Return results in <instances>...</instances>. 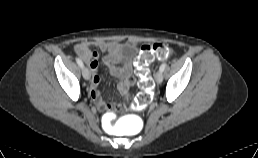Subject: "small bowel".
Wrapping results in <instances>:
<instances>
[{"label": "small bowel", "instance_id": "obj_1", "mask_svg": "<svg viewBox=\"0 0 258 158\" xmlns=\"http://www.w3.org/2000/svg\"><path fill=\"white\" fill-rule=\"evenodd\" d=\"M92 47L98 48L100 51L106 53L104 63L108 67L110 74L118 80V89L121 94H126L131 86L135 84V77L133 75L132 66L126 63L122 67L116 66V62L121 57L123 46L116 42L109 41H82L76 44L75 50L81 58L87 63L90 71L92 72L91 84L89 87V95L100 109L112 108L108 105L100 92L98 86L101 78L98 74L99 57L98 54L91 50Z\"/></svg>", "mask_w": 258, "mask_h": 158}]
</instances>
